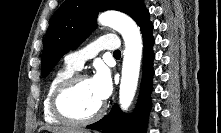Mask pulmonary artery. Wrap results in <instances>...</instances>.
<instances>
[{
	"label": "pulmonary artery",
	"mask_w": 221,
	"mask_h": 133,
	"mask_svg": "<svg viewBox=\"0 0 221 133\" xmlns=\"http://www.w3.org/2000/svg\"><path fill=\"white\" fill-rule=\"evenodd\" d=\"M119 48L120 42L117 37L111 34H105L86 48L67 54L65 56V63L75 70H79L83 67L85 61L93 58L100 50L115 52L119 50Z\"/></svg>",
	"instance_id": "e3ab8cb5"
}]
</instances>
